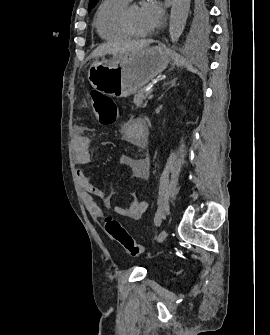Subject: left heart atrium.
<instances>
[{
  "label": "left heart atrium",
  "mask_w": 270,
  "mask_h": 335,
  "mask_svg": "<svg viewBox=\"0 0 270 335\" xmlns=\"http://www.w3.org/2000/svg\"><path fill=\"white\" fill-rule=\"evenodd\" d=\"M141 20L145 33H153L163 26L165 21L164 12L157 1H147L141 7Z\"/></svg>",
  "instance_id": "1"
}]
</instances>
